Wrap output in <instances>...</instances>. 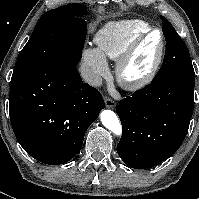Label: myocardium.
<instances>
[{
	"label": "myocardium",
	"instance_id": "f54148a6",
	"mask_svg": "<svg viewBox=\"0 0 199 199\" xmlns=\"http://www.w3.org/2000/svg\"><path fill=\"white\" fill-rule=\"evenodd\" d=\"M158 32L160 34V46L157 56L149 68V70L140 76H130L127 73L128 67L142 42L149 37L152 33ZM165 36L160 29L150 28L146 32L139 35L125 50V52L118 59L116 64V75L119 83L128 90H138L148 85L157 75L158 70L162 64L165 53Z\"/></svg>",
	"mask_w": 199,
	"mask_h": 199
}]
</instances>
